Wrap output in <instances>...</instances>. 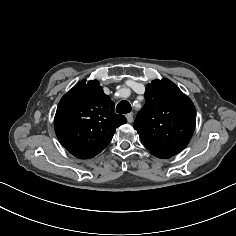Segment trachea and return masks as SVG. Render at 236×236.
<instances>
[{
    "mask_svg": "<svg viewBox=\"0 0 236 236\" xmlns=\"http://www.w3.org/2000/svg\"><path fill=\"white\" fill-rule=\"evenodd\" d=\"M131 111V105L128 101H121L116 107V112L121 114H126Z\"/></svg>",
    "mask_w": 236,
    "mask_h": 236,
    "instance_id": "1",
    "label": "trachea"
}]
</instances>
